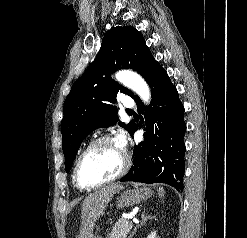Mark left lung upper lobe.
<instances>
[{
    "mask_svg": "<svg viewBox=\"0 0 247 238\" xmlns=\"http://www.w3.org/2000/svg\"><path fill=\"white\" fill-rule=\"evenodd\" d=\"M143 36L132 26L112 27L105 35L95 60L73 84L64 102V117L61 125L63 154L66 172L71 168L76 153L87 135L96 128L108 127L119 121L116 94L132 92L111 78V73L121 68H130L140 73L147 81L158 66ZM131 134L135 124L119 122Z\"/></svg>",
    "mask_w": 247,
    "mask_h": 238,
    "instance_id": "5c2ea615",
    "label": "left lung upper lobe"
}]
</instances>
